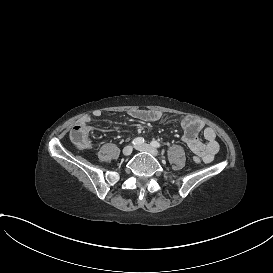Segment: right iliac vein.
<instances>
[{
  "label": "right iliac vein",
  "mask_w": 273,
  "mask_h": 273,
  "mask_svg": "<svg viewBox=\"0 0 273 273\" xmlns=\"http://www.w3.org/2000/svg\"><path fill=\"white\" fill-rule=\"evenodd\" d=\"M133 151V148L132 146H126L124 149H123V154L125 156H129Z\"/></svg>",
  "instance_id": "obj_1"
}]
</instances>
